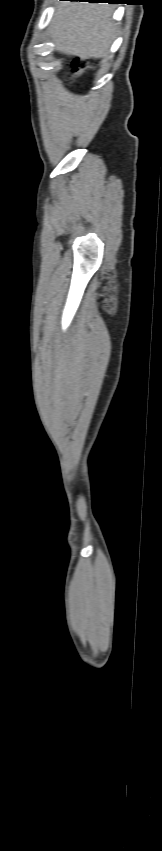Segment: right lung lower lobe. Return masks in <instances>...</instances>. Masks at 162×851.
I'll return each instance as SVG.
<instances>
[{
	"label": "right lung lower lobe",
	"instance_id": "right-lung-lower-lobe-1",
	"mask_svg": "<svg viewBox=\"0 0 162 851\" xmlns=\"http://www.w3.org/2000/svg\"><path fill=\"white\" fill-rule=\"evenodd\" d=\"M70 1H88V2H98V3L107 2L109 4L121 3V0H70Z\"/></svg>",
	"mask_w": 162,
	"mask_h": 851
}]
</instances>
